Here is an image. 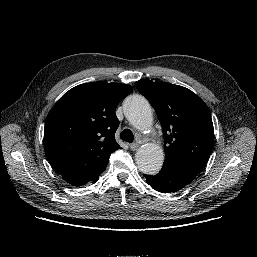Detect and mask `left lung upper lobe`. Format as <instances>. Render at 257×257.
<instances>
[{
    "instance_id": "left-lung-upper-lobe-1",
    "label": "left lung upper lobe",
    "mask_w": 257,
    "mask_h": 257,
    "mask_svg": "<svg viewBox=\"0 0 257 257\" xmlns=\"http://www.w3.org/2000/svg\"><path fill=\"white\" fill-rule=\"evenodd\" d=\"M156 111L165 139V161L196 176L204 169L214 145L211 113L191 90L167 82L135 83Z\"/></svg>"
}]
</instances>
